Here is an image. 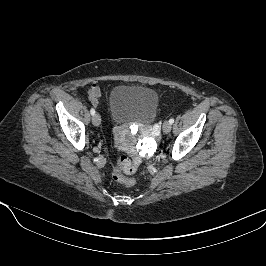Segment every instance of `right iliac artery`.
I'll list each match as a JSON object with an SVG mask.
<instances>
[{
	"label": "right iliac artery",
	"instance_id": "right-iliac-artery-1",
	"mask_svg": "<svg viewBox=\"0 0 266 266\" xmlns=\"http://www.w3.org/2000/svg\"><path fill=\"white\" fill-rule=\"evenodd\" d=\"M90 113H91V115H94L95 114V110L93 108H91Z\"/></svg>",
	"mask_w": 266,
	"mask_h": 266
}]
</instances>
